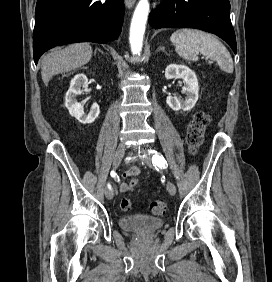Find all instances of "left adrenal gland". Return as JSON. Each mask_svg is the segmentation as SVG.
Instances as JSON below:
<instances>
[{
  "label": "left adrenal gland",
  "instance_id": "obj_1",
  "mask_svg": "<svg viewBox=\"0 0 272 282\" xmlns=\"http://www.w3.org/2000/svg\"><path fill=\"white\" fill-rule=\"evenodd\" d=\"M158 51H162L164 52L166 55H169L166 51H165V47L164 46H160L158 49H157V52Z\"/></svg>",
  "mask_w": 272,
  "mask_h": 282
}]
</instances>
